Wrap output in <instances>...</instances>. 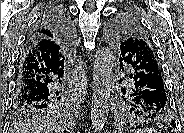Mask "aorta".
<instances>
[{
    "label": "aorta",
    "mask_w": 184,
    "mask_h": 133,
    "mask_svg": "<svg viewBox=\"0 0 184 133\" xmlns=\"http://www.w3.org/2000/svg\"><path fill=\"white\" fill-rule=\"evenodd\" d=\"M115 57L110 48L97 50L93 64L91 126L94 132L104 128L110 108V94Z\"/></svg>",
    "instance_id": "762f6f07"
}]
</instances>
